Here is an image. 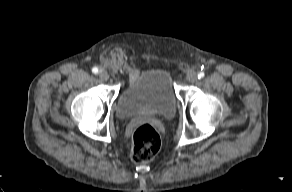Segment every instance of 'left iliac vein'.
Segmentation results:
<instances>
[{"instance_id": "1", "label": "left iliac vein", "mask_w": 292, "mask_h": 192, "mask_svg": "<svg viewBox=\"0 0 292 192\" xmlns=\"http://www.w3.org/2000/svg\"><path fill=\"white\" fill-rule=\"evenodd\" d=\"M186 79L190 82V83H194L197 80V74L196 72L190 70L188 71L187 75H186Z\"/></svg>"}]
</instances>
